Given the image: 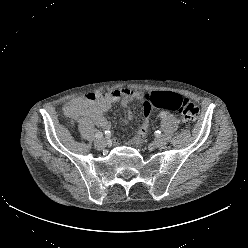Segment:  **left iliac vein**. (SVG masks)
<instances>
[{"instance_id":"4c4485c4","label":"left iliac vein","mask_w":248,"mask_h":248,"mask_svg":"<svg viewBox=\"0 0 248 248\" xmlns=\"http://www.w3.org/2000/svg\"><path fill=\"white\" fill-rule=\"evenodd\" d=\"M166 143L167 141L164 136H158L154 141V145L158 148L164 147Z\"/></svg>"}]
</instances>
